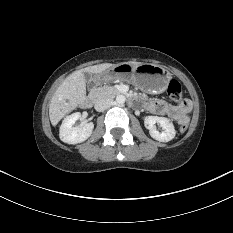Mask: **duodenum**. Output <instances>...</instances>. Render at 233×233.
<instances>
[{
    "label": "duodenum",
    "mask_w": 233,
    "mask_h": 233,
    "mask_svg": "<svg viewBox=\"0 0 233 233\" xmlns=\"http://www.w3.org/2000/svg\"><path fill=\"white\" fill-rule=\"evenodd\" d=\"M97 85V82L96 81H93L91 83V87L94 88L95 86ZM94 102V96L93 95H87L84 99H83V102H82V106L84 108H89L92 106ZM132 102L136 103L137 102V99L133 98L132 99Z\"/></svg>",
    "instance_id": "410a0bca"
}]
</instances>
